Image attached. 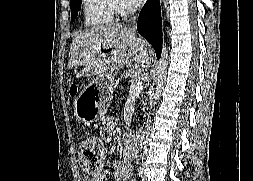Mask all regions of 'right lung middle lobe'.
I'll return each mask as SVG.
<instances>
[{
	"mask_svg": "<svg viewBox=\"0 0 253 181\" xmlns=\"http://www.w3.org/2000/svg\"><path fill=\"white\" fill-rule=\"evenodd\" d=\"M81 9V0H71V21H74Z\"/></svg>",
	"mask_w": 253,
	"mask_h": 181,
	"instance_id": "right-lung-middle-lobe-1",
	"label": "right lung middle lobe"
}]
</instances>
